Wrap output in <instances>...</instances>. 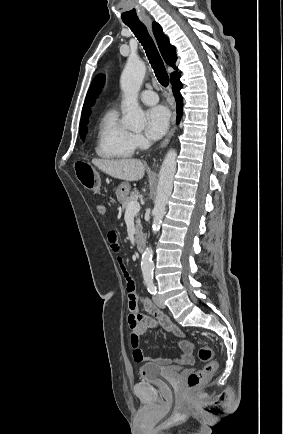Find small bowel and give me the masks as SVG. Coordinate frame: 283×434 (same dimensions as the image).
Returning a JSON list of instances; mask_svg holds the SVG:
<instances>
[{
  "instance_id": "c3829d8e",
  "label": "small bowel",
  "mask_w": 283,
  "mask_h": 434,
  "mask_svg": "<svg viewBox=\"0 0 283 434\" xmlns=\"http://www.w3.org/2000/svg\"><path fill=\"white\" fill-rule=\"evenodd\" d=\"M96 210L99 214L104 215L107 213V205L104 202H99L96 205ZM107 237L111 248L114 251H118L119 243L116 232L114 230H110ZM121 262L122 260L121 258H119V263ZM122 270L126 280L127 300L130 310L128 316V324L130 328V345L132 348V355L135 362L144 363L152 360L153 363L159 366H182L193 363V345L190 341L186 339L185 333L176 324H174L164 312L157 308L148 298L140 294L136 288L134 280L129 276V274L125 271L123 267ZM138 300H142L145 309L154 317V319L138 312ZM155 326H161L163 329L172 333L175 336L177 340V345L181 351L179 356L172 359H151L144 354V352L139 347V339L148 328Z\"/></svg>"
}]
</instances>
